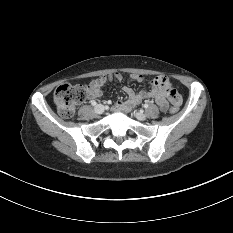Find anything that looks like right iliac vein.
Listing matches in <instances>:
<instances>
[{
    "mask_svg": "<svg viewBox=\"0 0 233 233\" xmlns=\"http://www.w3.org/2000/svg\"><path fill=\"white\" fill-rule=\"evenodd\" d=\"M94 111L97 114H102L104 112V106L101 105V104H98V105L95 106Z\"/></svg>",
    "mask_w": 233,
    "mask_h": 233,
    "instance_id": "right-iliac-vein-1",
    "label": "right iliac vein"
}]
</instances>
